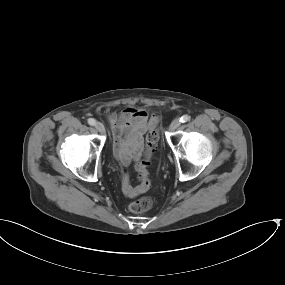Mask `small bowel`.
<instances>
[{"label": "small bowel", "instance_id": "obj_1", "mask_svg": "<svg viewBox=\"0 0 285 285\" xmlns=\"http://www.w3.org/2000/svg\"><path fill=\"white\" fill-rule=\"evenodd\" d=\"M107 118L112 126L114 155L122 165L127 166L141 156L142 135L156 125L159 114L149 115L142 109L130 108L119 114H109ZM122 191L131 198L145 192L139 187H129V190L122 187Z\"/></svg>", "mask_w": 285, "mask_h": 285}]
</instances>
